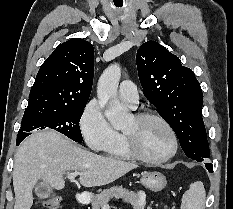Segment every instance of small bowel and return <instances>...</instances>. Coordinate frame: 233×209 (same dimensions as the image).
Returning <instances> with one entry per match:
<instances>
[{
    "label": "small bowel",
    "mask_w": 233,
    "mask_h": 209,
    "mask_svg": "<svg viewBox=\"0 0 233 209\" xmlns=\"http://www.w3.org/2000/svg\"><path fill=\"white\" fill-rule=\"evenodd\" d=\"M145 209H153L152 207H146Z\"/></svg>",
    "instance_id": "c3829d8e"
}]
</instances>
